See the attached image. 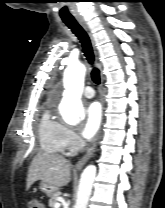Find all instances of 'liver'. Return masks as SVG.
<instances>
[{"label": "liver", "instance_id": "liver-1", "mask_svg": "<svg viewBox=\"0 0 165 208\" xmlns=\"http://www.w3.org/2000/svg\"><path fill=\"white\" fill-rule=\"evenodd\" d=\"M71 163L60 155L39 153L32 160L27 176V186L37 181L53 185L56 189L70 182Z\"/></svg>", "mask_w": 165, "mask_h": 208}]
</instances>
